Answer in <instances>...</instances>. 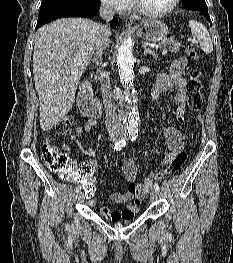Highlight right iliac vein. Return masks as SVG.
I'll use <instances>...</instances> for the list:
<instances>
[{
    "mask_svg": "<svg viewBox=\"0 0 233 263\" xmlns=\"http://www.w3.org/2000/svg\"><path fill=\"white\" fill-rule=\"evenodd\" d=\"M111 139H112V140H117L118 137H117L116 135H112V136H111ZM76 198H77L78 201H82L83 198H84V194H83L82 192H78Z\"/></svg>",
    "mask_w": 233,
    "mask_h": 263,
    "instance_id": "obj_1",
    "label": "right iliac vein"
}]
</instances>
